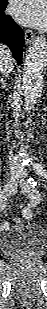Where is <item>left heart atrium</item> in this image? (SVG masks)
<instances>
[{
    "instance_id": "1",
    "label": "left heart atrium",
    "mask_w": 47,
    "mask_h": 309,
    "mask_svg": "<svg viewBox=\"0 0 47 309\" xmlns=\"http://www.w3.org/2000/svg\"><path fill=\"white\" fill-rule=\"evenodd\" d=\"M13 17L21 24L40 27L47 20L45 0H13L11 5Z\"/></svg>"
}]
</instances>
